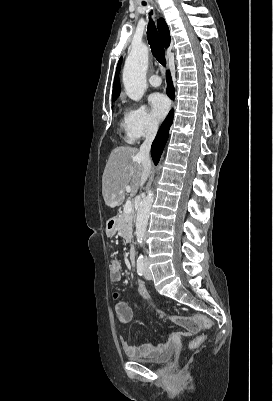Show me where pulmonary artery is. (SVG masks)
<instances>
[{"mask_svg":"<svg viewBox=\"0 0 273 401\" xmlns=\"http://www.w3.org/2000/svg\"><path fill=\"white\" fill-rule=\"evenodd\" d=\"M150 83L149 86L151 89H158L160 86V76L158 74H151L149 77Z\"/></svg>","mask_w":273,"mask_h":401,"instance_id":"e3ab8cb5","label":"pulmonary artery"}]
</instances>
